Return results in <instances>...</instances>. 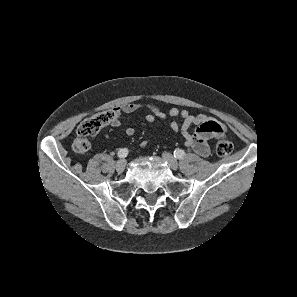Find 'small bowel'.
Returning <instances> with one entry per match:
<instances>
[{
  "mask_svg": "<svg viewBox=\"0 0 297 297\" xmlns=\"http://www.w3.org/2000/svg\"><path fill=\"white\" fill-rule=\"evenodd\" d=\"M144 108L148 110L146 119L149 122L165 120L167 117L166 113L155 105L144 107L140 104L128 103L114 109L116 118L111 123L112 126L119 127L121 125V115L135 113ZM168 117L170 118V128L175 132L182 133L185 145L204 157L210 153L209 142L222 136L224 132L222 125L218 121L205 114L193 115L188 110L171 108ZM177 118H180L181 122H178ZM192 125L195 126L193 133L189 132ZM125 134L131 137L135 134V129L128 127L125 129ZM147 144V141H143L141 146L145 147Z\"/></svg>",
  "mask_w": 297,
  "mask_h": 297,
  "instance_id": "small-bowel-1",
  "label": "small bowel"
}]
</instances>
